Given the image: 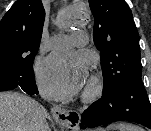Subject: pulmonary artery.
Listing matches in <instances>:
<instances>
[{
	"instance_id": "obj_1",
	"label": "pulmonary artery",
	"mask_w": 151,
	"mask_h": 131,
	"mask_svg": "<svg viewBox=\"0 0 151 131\" xmlns=\"http://www.w3.org/2000/svg\"><path fill=\"white\" fill-rule=\"evenodd\" d=\"M88 41V36L83 31H78L72 34L70 37L60 36L54 39L49 48H65L70 45H74L77 47L85 46Z\"/></svg>"
}]
</instances>
